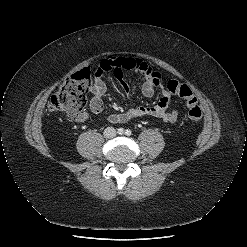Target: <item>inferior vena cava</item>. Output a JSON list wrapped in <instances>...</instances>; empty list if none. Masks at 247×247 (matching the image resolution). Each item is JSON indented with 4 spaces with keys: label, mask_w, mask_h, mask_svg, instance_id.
<instances>
[{
    "label": "inferior vena cava",
    "mask_w": 247,
    "mask_h": 247,
    "mask_svg": "<svg viewBox=\"0 0 247 247\" xmlns=\"http://www.w3.org/2000/svg\"><path fill=\"white\" fill-rule=\"evenodd\" d=\"M116 136V130L113 127H107L104 130V137L106 138H113Z\"/></svg>",
    "instance_id": "1"
}]
</instances>
